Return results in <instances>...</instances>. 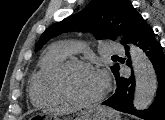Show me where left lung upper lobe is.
<instances>
[{
  "mask_svg": "<svg viewBox=\"0 0 165 120\" xmlns=\"http://www.w3.org/2000/svg\"><path fill=\"white\" fill-rule=\"evenodd\" d=\"M141 15L128 0H92L82 11L48 27L39 39L36 51L54 36L67 31H90L97 39H128ZM124 40L121 41L124 44ZM119 64L111 67L116 78Z\"/></svg>",
  "mask_w": 165,
  "mask_h": 120,
  "instance_id": "obj_1",
  "label": "left lung upper lobe"
}]
</instances>
